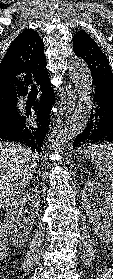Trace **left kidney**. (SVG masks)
<instances>
[{
    "instance_id": "1",
    "label": "left kidney",
    "mask_w": 113,
    "mask_h": 279,
    "mask_svg": "<svg viewBox=\"0 0 113 279\" xmlns=\"http://www.w3.org/2000/svg\"><path fill=\"white\" fill-rule=\"evenodd\" d=\"M94 194L103 196V209L100 211L93 210L91 196ZM82 204L97 237L104 242L113 243V191L99 182L87 181L82 190ZM101 216H105L103 223L100 222Z\"/></svg>"
}]
</instances>
